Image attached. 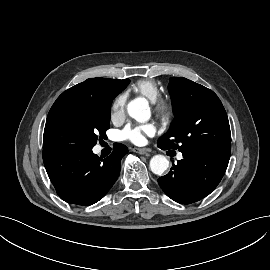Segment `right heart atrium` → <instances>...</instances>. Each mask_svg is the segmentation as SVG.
Instances as JSON below:
<instances>
[{"label": "right heart atrium", "mask_w": 270, "mask_h": 270, "mask_svg": "<svg viewBox=\"0 0 270 270\" xmlns=\"http://www.w3.org/2000/svg\"><path fill=\"white\" fill-rule=\"evenodd\" d=\"M126 100L125 93H120L113 99L110 106V118L113 122L120 121L125 117Z\"/></svg>", "instance_id": "1"}]
</instances>
